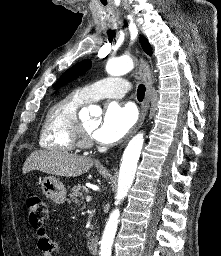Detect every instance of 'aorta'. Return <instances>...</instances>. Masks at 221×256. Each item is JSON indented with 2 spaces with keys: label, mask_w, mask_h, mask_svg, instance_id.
Wrapping results in <instances>:
<instances>
[{
  "label": "aorta",
  "mask_w": 221,
  "mask_h": 256,
  "mask_svg": "<svg viewBox=\"0 0 221 256\" xmlns=\"http://www.w3.org/2000/svg\"><path fill=\"white\" fill-rule=\"evenodd\" d=\"M134 67L133 61L129 57H120L112 59L107 62L106 71L109 75L120 76L128 73ZM88 112L96 111V107L91 105L86 110ZM144 137L143 133L135 135L128 143L122 157L120 165L118 189L116 193V204L122 201L130 189L137 169V163L143 147ZM120 211L118 208L114 209L110 214L106 224L100 247V256H111V248L113 239L116 234L118 219Z\"/></svg>",
  "instance_id": "762f6f07"
}]
</instances>
